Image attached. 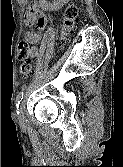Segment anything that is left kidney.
<instances>
[{"instance_id":"left-kidney-1","label":"left kidney","mask_w":123,"mask_h":167,"mask_svg":"<svg viewBox=\"0 0 123 167\" xmlns=\"http://www.w3.org/2000/svg\"><path fill=\"white\" fill-rule=\"evenodd\" d=\"M68 0H58L57 3L53 4L50 9H58L61 7L64 3H66Z\"/></svg>"}]
</instances>
